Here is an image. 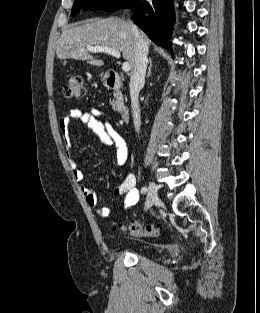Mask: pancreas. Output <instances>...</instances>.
Instances as JSON below:
<instances>
[{
  "mask_svg": "<svg viewBox=\"0 0 260 313\" xmlns=\"http://www.w3.org/2000/svg\"><path fill=\"white\" fill-rule=\"evenodd\" d=\"M115 97H116V100H115ZM122 103H123L122 94L121 93L114 94V99L110 102L112 108L114 110H118L122 106Z\"/></svg>",
  "mask_w": 260,
  "mask_h": 313,
  "instance_id": "1",
  "label": "pancreas"
}]
</instances>
